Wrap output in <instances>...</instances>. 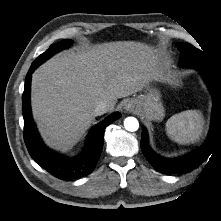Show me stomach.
<instances>
[{
	"instance_id": "stomach-1",
	"label": "stomach",
	"mask_w": 221,
	"mask_h": 221,
	"mask_svg": "<svg viewBox=\"0 0 221 221\" xmlns=\"http://www.w3.org/2000/svg\"><path fill=\"white\" fill-rule=\"evenodd\" d=\"M140 112L148 119L161 121L165 116V110L157 90L148 89V93L135 98Z\"/></svg>"
}]
</instances>
